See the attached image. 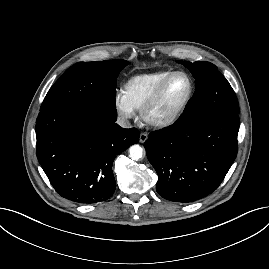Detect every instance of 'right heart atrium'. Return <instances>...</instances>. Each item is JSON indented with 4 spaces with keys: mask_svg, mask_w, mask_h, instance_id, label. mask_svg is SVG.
Segmentation results:
<instances>
[{
    "mask_svg": "<svg viewBox=\"0 0 269 269\" xmlns=\"http://www.w3.org/2000/svg\"><path fill=\"white\" fill-rule=\"evenodd\" d=\"M114 107L118 115L124 120L135 116V109L128 102L123 92H117L114 96Z\"/></svg>",
    "mask_w": 269,
    "mask_h": 269,
    "instance_id": "right-heart-atrium-1",
    "label": "right heart atrium"
}]
</instances>
